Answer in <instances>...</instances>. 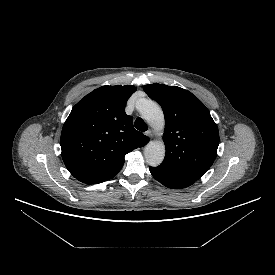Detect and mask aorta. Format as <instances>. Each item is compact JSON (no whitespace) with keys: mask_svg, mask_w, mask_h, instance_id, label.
I'll use <instances>...</instances> for the list:
<instances>
[{"mask_svg":"<svg viewBox=\"0 0 275 275\" xmlns=\"http://www.w3.org/2000/svg\"><path fill=\"white\" fill-rule=\"evenodd\" d=\"M142 117L157 131L164 129V114L161 107L152 100H144L139 108ZM144 157L148 165L156 167L165 157L163 141H151L144 149Z\"/></svg>","mask_w":275,"mask_h":275,"instance_id":"762f6f07","label":"aorta"}]
</instances>
